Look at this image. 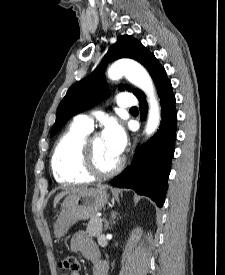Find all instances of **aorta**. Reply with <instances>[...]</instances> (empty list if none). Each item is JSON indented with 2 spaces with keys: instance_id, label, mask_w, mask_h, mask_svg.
Listing matches in <instances>:
<instances>
[{
  "instance_id": "obj_1",
  "label": "aorta",
  "mask_w": 225,
  "mask_h": 275,
  "mask_svg": "<svg viewBox=\"0 0 225 275\" xmlns=\"http://www.w3.org/2000/svg\"><path fill=\"white\" fill-rule=\"evenodd\" d=\"M125 76L132 84L140 88L147 96L149 113L145 133L154 134L160 125L161 113L156 91L149 73L140 64L134 61H118L108 69V77L118 80Z\"/></svg>"
}]
</instances>
